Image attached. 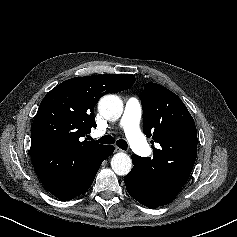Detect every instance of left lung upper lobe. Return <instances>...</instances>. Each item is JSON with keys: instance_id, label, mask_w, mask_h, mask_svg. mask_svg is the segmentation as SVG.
I'll return each instance as SVG.
<instances>
[{"instance_id": "left-lung-upper-lobe-1", "label": "left lung upper lobe", "mask_w": 237, "mask_h": 237, "mask_svg": "<svg viewBox=\"0 0 237 237\" xmlns=\"http://www.w3.org/2000/svg\"><path fill=\"white\" fill-rule=\"evenodd\" d=\"M143 130L151 143H158L153 158L137 157L141 174L160 187L182 188L197 157L195 122L182 100L156 83H147L141 93Z\"/></svg>"}]
</instances>
